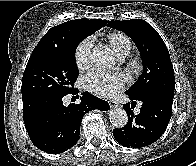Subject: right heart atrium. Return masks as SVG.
<instances>
[{
  "mask_svg": "<svg viewBox=\"0 0 196 166\" xmlns=\"http://www.w3.org/2000/svg\"><path fill=\"white\" fill-rule=\"evenodd\" d=\"M93 39L91 37L83 39L76 47L74 57L79 68H85L90 63Z\"/></svg>",
  "mask_w": 196,
  "mask_h": 166,
  "instance_id": "1",
  "label": "right heart atrium"
}]
</instances>
